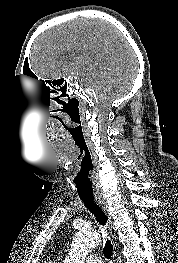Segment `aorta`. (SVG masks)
<instances>
[{
	"label": "aorta",
	"instance_id": "obj_1",
	"mask_svg": "<svg viewBox=\"0 0 178 263\" xmlns=\"http://www.w3.org/2000/svg\"><path fill=\"white\" fill-rule=\"evenodd\" d=\"M100 242L96 231L82 229L74 237L68 257L64 263H84L85 257Z\"/></svg>",
	"mask_w": 178,
	"mask_h": 263
}]
</instances>
